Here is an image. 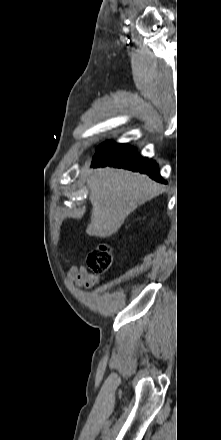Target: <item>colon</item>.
<instances>
[{"instance_id": "obj_1", "label": "colon", "mask_w": 221, "mask_h": 440, "mask_svg": "<svg viewBox=\"0 0 221 440\" xmlns=\"http://www.w3.org/2000/svg\"><path fill=\"white\" fill-rule=\"evenodd\" d=\"M88 266L96 273H105L112 265V254L107 245H100L87 258Z\"/></svg>"}]
</instances>
